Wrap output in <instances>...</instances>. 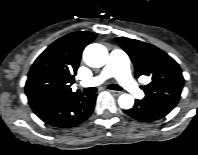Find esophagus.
I'll return each mask as SVG.
<instances>
[{
  "instance_id": "obj_1",
  "label": "esophagus",
  "mask_w": 198,
  "mask_h": 155,
  "mask_svg": "<svg viewBox=\"0 0 198 155\" xmlns=\"http://www.w3.org/2000/svg\"><path fill=\"white\" fill-rule=\"evenodd\" d=\"M110 92L113 94V95H120L122 92L121 91H115V90H110Z\"/></svg>"
}]
</instances>
